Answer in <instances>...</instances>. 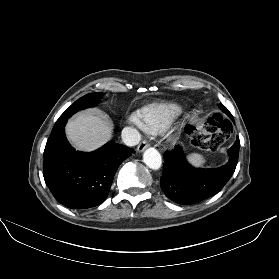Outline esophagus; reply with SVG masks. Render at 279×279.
<instances>
[{
    "mask_svg": "<svg viewBox=\"0 0 279 279\" xmlns=\"http://www.w3.org/2000/svg\"><path fill=\"white\" fill-rule=\"evenodd\" d=\"M149 146V143L147 141H142L139 145H138V151L142 152L144 149H146Z\"/></svg>",
    "mask_w": 279,
    "mask_h": 279,
    "instance_id": "obj_1",
    "label": "esophagus"
}]
</instances>
